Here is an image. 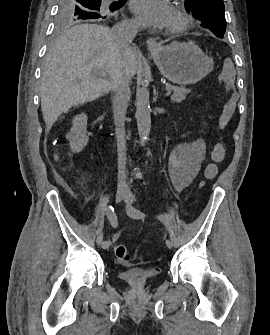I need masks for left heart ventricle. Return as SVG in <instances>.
I'll return each instance as SVG.
<instances>
[{
  "mask_svg": "<svg viewBox=\"0 0 270 335\" xmlns=\"http://www.w3.org/2000/svg\"><path fill=\"white\" fill-rule=\"evenodd\" d=\"M176 52H186V51H184V50H179V51H176Z\"/></svg>",
  "mask_w": 270,
  "mask_h": 335,
  "instance_id": "obj_1",
  "label": "left heart ventricle"
}]
</instances>
